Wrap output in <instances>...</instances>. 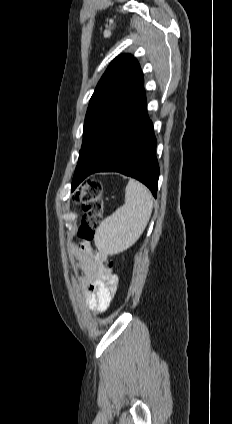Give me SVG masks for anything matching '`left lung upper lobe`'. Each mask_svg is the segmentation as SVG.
Returning <instances> with one entry per match:
<instances>
[{"mask_svg":"<svg viewBox=\"0 0 232 424\" xmlns=\"http://www.w3.org/2000/svg\"><path fill=\"white\" fill-rule=\"evenodd\" d=\"M143 86L139 63L129 54L112 61L100 79L89 103L83 129V143L75 170H82L89 149L102 130Z\"/></svg>","mask_w":232,"mask_h":424,"instance_id":"1","label":"left lung upper lobe"}]
</instances>
